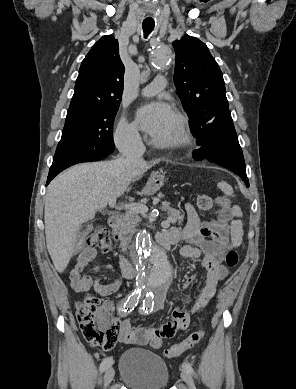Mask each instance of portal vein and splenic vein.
Listing matches in <instances>:
<instances>
[{
  "mask_svg": "<svg viewBox=\"0 0 296 389\" xmlns=\"http://www.w3.org/2000/svg\"><path fill=\"white\" fill-rule=\"evenodd\" d=\"M109 206L111 208H117V209H129L132 211H136L138 213L145 214L148 212V207L144 204H138V203H127V204H116V199H111L109 201ZM161 225L165 228H168L170 226V222L168 220L163 221Z\"/></svg>",
  "mask_w": 296,
  "mask_h": 389,
  "instance_id": "portal-vein-and-splenic-vein-1",
  "label": "portal vein and splenic vein"
}]
</instances>
